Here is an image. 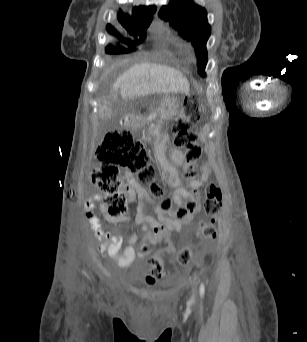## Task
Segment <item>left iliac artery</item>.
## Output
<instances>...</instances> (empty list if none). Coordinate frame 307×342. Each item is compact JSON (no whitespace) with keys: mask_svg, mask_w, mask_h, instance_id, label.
<instances>
[{"mask_svg":"<svg viewBox=\"0 0 307 342\" xmlns=\"http://www.w3.org/2000/svg\"><path fill=\"white\" fill-rule=\"evenodd\" d=\"M204 291H205V288H204V284L202 283L201 286H200V295L203 297L204 295Z\"/></svg>","mask_w":307,"mask_h":342,"instance_id":"obj_1","label":"left iliac artery"}]
</instances>
